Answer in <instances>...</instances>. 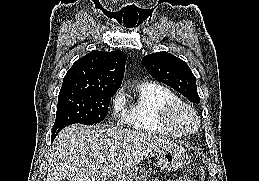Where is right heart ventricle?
<instances>
[{
  "label": "right heart ventricle",
  "instance_id": "e07e8e85",
  "mask_svg": "<svg viewBox=\"0 0 259 181\" xmlns=\"http://www.w3.org/2000/svg\"><path fill=\"white\" fill-rule=\"evenodd\" d=\"M177 95L168 87L147 82L138 87L136 99L125 110V124L134 130L168 137L184 134L170 127L164 120V111Z\"/></svg>",
  "mask_w": 259,
  "mask_h": 181
}]
</instances>
